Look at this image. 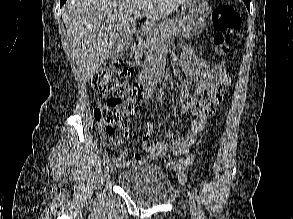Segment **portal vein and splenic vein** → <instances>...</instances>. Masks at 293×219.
<instances>
[{
  "label": "portal vein and splenic vein",
  "mask_w": 293,
  "mask_h": 219,
  "mask_svg": "<svg viewBox=\"0 0 293 219\" xmlns=\"http://www.w3.org/2000/svg\"><path fill=\"white\" fill-rule=\"evenodd\" d=\"M144 16V13H138L137 14V18H141V17H143Z\"/></svg>",
  "instance_id": "obj_1"
}]
</instances>
